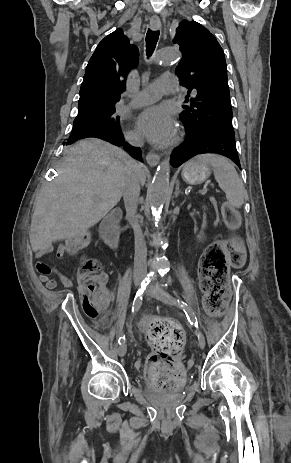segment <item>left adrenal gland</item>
Wrapping results in <instances>:
<instances>
[{
  "label": "left adrenal gland",
  "instance_id": "left-adrenal-gland-1",
  "mask_svg": "<svg viewBox=\"0 0 291 463\" xmlns=\"http://www.w3.org/2000/svg\"><path fill=\"white\" fill-rule=\"evenodd\" d=\"M181 193L180 189H179V183H177L176 185V190H175V197L177 198V196Z\"/></svg>",
  "mask_w": 291,
  "mask_h": 463
}]
</instances>
